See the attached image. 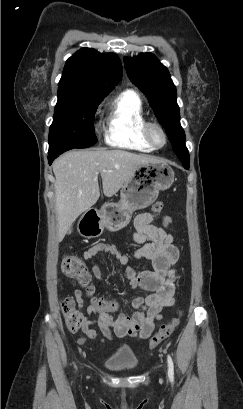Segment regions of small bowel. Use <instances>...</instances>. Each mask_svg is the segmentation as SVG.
<instances>
[{
    "mask_svg": "<svg viewBox=\"0 0 243 409\" xmlns=\"http://www.w3.org/2000/svg\"><path fill=\"white\" fill-rule=\"evenodd\" d=\"M155 218L151 213L139 214L135 218L133 234L134 241L140 245L134 251V259H148L152 263V269L128 265L125 270L130 286L140 288L146 294L132 301L135 311L131 314L113 315L112 309L105 310L90 305L82 318L84 336L79 338L80 344L83 345L86 339L97 338V334L91 328L93 326L103 332V337L100 338L102 342L111 341L114 337L126 336L147 339L154 331L155 322L162 318V309L175 304V281L178 274L174 265L178 261L179 250L174 243L173 236L167 231L171 218L167 215L162 216V226L153 224ZM100 254L112 256L120 265H127L129 261L128 257L114 244L100 243L92 246L83 254V258L93 263L92 272L99 281L104 280L96 263ZM74 297L79 307L84 308L82 292L75 290Z\"/></svg>",
    "mask_w": 243,
    "mask_h": 409,
    "instance_id": "small-bowel-1",
    "label": "small bowel"
}]
</instances>
